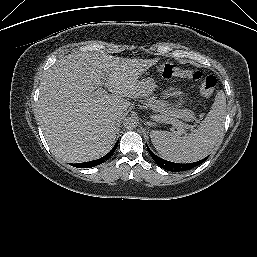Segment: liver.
I'll list each match as a JSON object with an SVG mask.
<instances>
[{"label":"liver","mask_w":257,"mask_h":257,"mask_svg":"<svg viewBox=\"0 0 257 257\" xmlns=\"http://www.w3.org/2000/svg\"><path fill=\"white\" fill-rule=\"evenodd\" d=\"M158 61L75 53L57 60L40 85L39 121L54 155L85 162L109 152L116 138L112 114L122 115L140 95L138 78ZM105 84L111 94L97 96Z\"/></svg>","instance_id":"liver-1"}]
</instances>
